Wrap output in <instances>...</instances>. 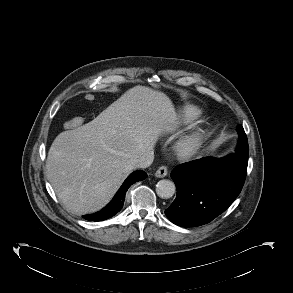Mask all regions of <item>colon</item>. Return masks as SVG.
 <instances>
[{
    "mask_svg": "<svg viewBox=\"0 0 293 293\" xmlns=\"http://www.w3.org/2000/svg\"><path fill=\"white\" fill-rule=\"evenodd\" d=\"M95 98H96L95 95L92 93H88L85 95V99L88 102L94 101ZM83 123H84V119L82 117H75V118L67 121L64 126L66 129H74V128L81 126Z\"/></svg>",
    "mask_w": 293,
    "mask_h": 293,
    "instance_id": "colon-1",
    "label": "colon"
}]
</instances>
